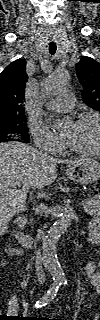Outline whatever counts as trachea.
I'll return each instance as SVG.
<instances>
[{
	"instance_id": "obj_1",
	"label": "trachea",
	"mask_w": 100,
	"mask_h": 320,
	"mask_svg": "<svg viewBox=\"0 0 100 320\" xmlns=\"http://www.w3.org/2000/svg\"><path fill=\"white\" fill-rule=\"evenodd\" d=\"M56 49H57L56 45H50V46H49V52H50V54H52V55L55 54Z\"/></svg>"
}]
</instances>
